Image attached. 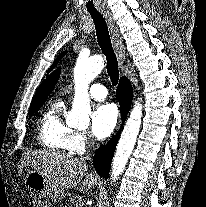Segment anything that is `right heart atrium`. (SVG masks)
Returning a JSON list of instances; mask_svg holds the SVG:
<instances>
[{
	"instance_id": "right-heart-atrium-1",
	"label": "right heart atrium",
	"mask_w": 206,
	"mask_h": 207,
	"mask_svg": "<svg viewBox=\"0 0 206 207\" xmlns=\"http://www.w3.org/2000/svg\"><path fill=\"white\" fill-rule=\"evenodd\" d=\"M91 140L86 132L74 131L73 149L76 152H83L90 145Z\"/></svg>"
}]
</instances>
